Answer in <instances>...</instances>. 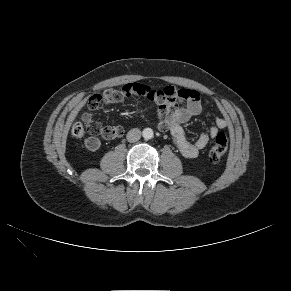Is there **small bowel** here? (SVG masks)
Instances as JSON below:
<instances>
[{
	"label": "small bowel",
	"mask_w": 291,
	"mask_h": 291,
	"mask_svg": "<svg viewBox=\"0 0 291 291\" xmlns=\"http://www.w3.org/2000/svg\"><path fill=\"white\" fill-rule=\"evenodd\" d=\"M96 95L103 97L100 103L104 104H115L125 98L137 96H142L155 102L158 106L156 112L158 129L169 131L180 153L188 159L197 157L199 151L208 145L209 140L214 138L219 130L228 126L226 119L217 118L209 130L201 134L196 141L191 142L188 140L183 125L202 111L200 94L197 90L191 88H178L170 85L156 90L139 83H127L117 89H109L103 94H95L92 97ZM109 127L122 129L120 126ZM85 145L90 150H96L100 145V141L97 138H87Z\"/></svg>",
	"instance_id": "small-bowel-1"
}]
</instances>
